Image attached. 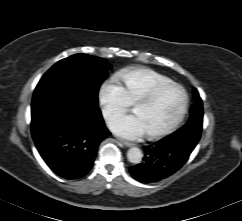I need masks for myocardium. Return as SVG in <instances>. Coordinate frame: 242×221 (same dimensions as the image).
I'll list each match as a JSON object with an SVG mask.
<instances>
[{"instance_id": "myocardium-1", "label": "myocardium", "mask_w": 242, "mask_h": 221, "mask_svg": "<svg viewBox=\"0 0 242 221\" xmlns=\"http://www.w3.org/2000/svg\"><path fill=\"white\" fill-rule=\"evenodd\" d=\"M169 87H176L178 88L182 95H183V104H182V108L180 110L179 115L177 116V118L165 129L158 131V132H154V133H147V137L150 140H157V139H161L169 134H171L172 132H174L178 126L181 124V122L183 121V119L186 116V113L188 111V107H189V95L186 91V89L179 83L174 82V81H168V82H164V83H160L156 86H154L152 89H150L146 94H144L142 97H140L137 101L134 102L133 105V109L139 105H146L151 103L152 101L155 100V98L166 88Z\"/></svg>"}]
</instances>
